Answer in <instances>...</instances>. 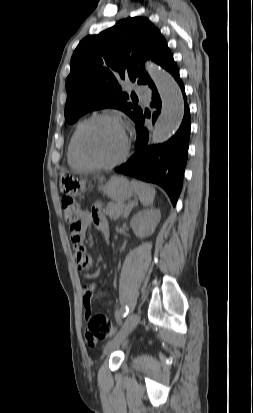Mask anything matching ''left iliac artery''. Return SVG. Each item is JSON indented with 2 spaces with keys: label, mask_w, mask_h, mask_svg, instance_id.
Segmentation results:
<instances>
[{
  "label": "left iliac artery",
  "mask_w": 253,
  "mask_h": 413,
  "mask_svg": "<svg viewBox=\"0 0 253 413\" xmlns=\"http://www.w3.org/2000/svg\"><path fill=\"white\" fill-rule=\"evenodd\" d=\"M128 313H129V307L125 306V308L119 312L118 316L126 317Z\"/></svg>",
  "instance_id": "1"
}]
</instances>
